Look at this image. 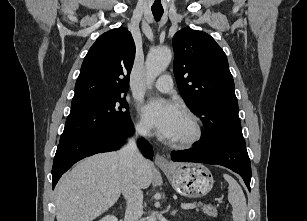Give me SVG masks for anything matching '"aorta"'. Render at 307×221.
I'll list each match as a JSON object with an SVG mask.
<instances>
[{
    "label": "aorta",
    "instance_id": "aorta-1",
    "mask_svg": "<svg viewBox=\"0 0 307 221\" xmlns=\"http://www.w3.org/2000/svg\"><path fill=\"white\" fill-rule=\"evenodd\" d=\"M172 53L169 48H158L151 50L146 58V85L149 89L152 83L170 64ZM147 221H156L155 216L147 217Z\"/></svg>",
    "mask_w": 307,
    "mask_h": 221
}]
</instances>
